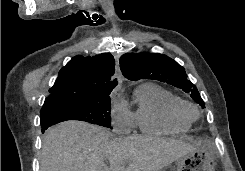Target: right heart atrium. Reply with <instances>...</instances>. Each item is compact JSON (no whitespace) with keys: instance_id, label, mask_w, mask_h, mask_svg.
<instances>
[{"instance_id":"d8ad5b80","label":"right heart atrium","mask_w":245,"mask_h":171,"mask_svg":"<svg viewBox=\"0 0 245 171\" xmlns=\"http://www.w3.org/2000/svg\"><path fill=\"white\" fill-rule=\"evenodd\" d=\"M111 124L116 132L127 133L133 125L132 114L117 96H112L110 104Z\"/></svg>"}]
</instances>
